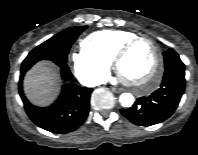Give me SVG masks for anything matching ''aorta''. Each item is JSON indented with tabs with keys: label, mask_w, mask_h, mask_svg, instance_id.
Instances as JSON below:
<instances>
[{
	"label": "aorta",
	"mask_w": 198,
	"mask_h": 155,
	"mask_svg": "<svg viewBox=\"0 0 198 155\" xmlns=\"http://www.w3.org/2000/svg\"><path fill=\"white\" fill-rule=\"evenodd\" d=\"M119 102L123 107H131L134 103V97L130 93H122L119 97Z\"/></svg>",
	"instance_id": "obj_1"
}]
</instances>
